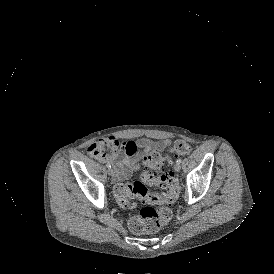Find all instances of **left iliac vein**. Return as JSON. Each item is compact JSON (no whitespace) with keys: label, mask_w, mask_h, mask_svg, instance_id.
<instances>
[{"label":"left iliac vein","mask_w":274,"mask_h":274,"mask_svg":"<svg viewBox=\"0 0 274 274\" xmlns=\"http://www.w3.org/2000/svg\"><path fill=\"white\" fill-rule=\"evenodd\" d=\"M180 169H181V165L178 164V163H176V164L174 165V170H175V171H180Z\"/></svg>","instance_id":"left-iliac-vein-1"}]
</instances>
